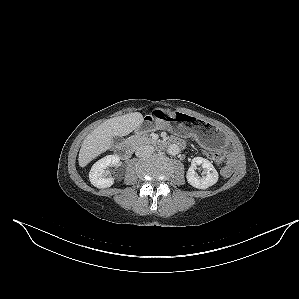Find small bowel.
I'll list each match as a JSON object with an SVG mask.
<instances>
[{
    "instance_id": "obj_1",
    "label": "small bowel",
    "mask_w": 299,
    "mask_h": 299,
    "mask_svg": "<svg viewBox=\"0 0 299 299\" xmlns=\"http://www.w3.org/2000/svg\"><path fill=\"white\" fill-rule=\"evenodd\" d=\"M176 140L181 143V146L184 144L183 140H181V139H176Z\"/></svg>"
}]
</instances>
